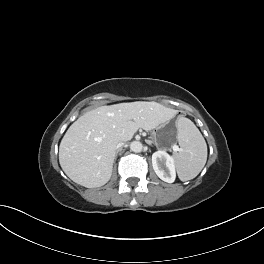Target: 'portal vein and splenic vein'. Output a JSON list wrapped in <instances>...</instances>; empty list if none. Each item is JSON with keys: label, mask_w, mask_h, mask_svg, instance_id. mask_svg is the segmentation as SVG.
<instances>
[{"label": "portal vein and splenic vein", "mask_w": 264, "mask_h": 264, "mask_svg": "<svg viewBox=\"0 0 264 264\" xmlns=\"http://www.w3.org/2000/svg\"><path fill=\"white\" fill-rule=\"evenodd\" d=\"M173 150H174V151H178V150H179L178 146L174 145V146H173Z\"/></svg>", "instance_id": "1"}]
</instances>
